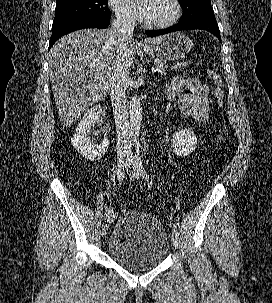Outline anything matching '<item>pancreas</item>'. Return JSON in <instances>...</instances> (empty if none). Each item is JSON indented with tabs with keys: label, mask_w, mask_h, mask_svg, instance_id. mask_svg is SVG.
<instances>
[{
	"label": "pancreas",
	"mask_w": 272,
	"mask_h": 303,
	"mask_svg": "<svg viewBox=\"0 0 272 303\" xmlns=\"http://www.w3.org/2000/svg\"><path fill=\"white\" fill-rule=\"evenodd\" d=\"M157 67H158V72L161 75H165L166 68H167L166 62L164 60H158L157 61Z\"/></svg>",
	"instance_id": "pancreas-1"
}]
</instances>
